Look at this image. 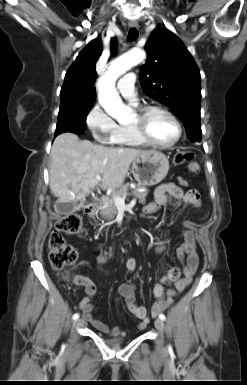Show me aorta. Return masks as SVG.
<instances>
[{"instance_id": "762f6f07", "label": "aorta", "mask_w": 247, "mask_h": 385, "mask_svg": "<svg viewBox=\"0 0 247 385\" xmlns=\"http://www.w3.org/2000/svg\"><path fill=\"white\" fill-rule=\"evenodd\" d=\"M145 58L146 53L143 50H131L113 60L105 74L97 82L100 105L110 116L117 120L128 117L131 109L122 102L115 87L116 81Z\"/></svg>"}]
</instances>
